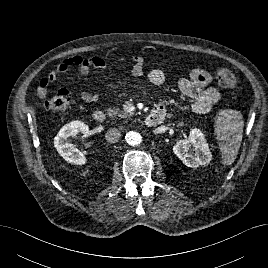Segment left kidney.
<instances>
[{"label": "left kidney", "instance_id": "5707ae66", "mask_svg": "<svg viewBox=\"0 0 268 268\" xmlns=\"http://www.w3.org/2000/svg\"><path fill=\"white\" fill-rule=\"evenodd\" d=\"M173 151L183 164L191 168L208 165L212 160L204 134L197 128L191 129L188 139L179 140Z\"/></svg>", "mask_w": 268, "mask_h": 268}]
</instances>
